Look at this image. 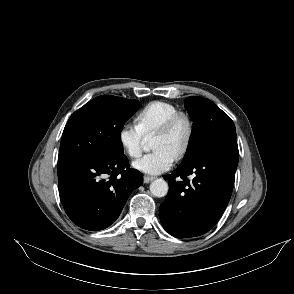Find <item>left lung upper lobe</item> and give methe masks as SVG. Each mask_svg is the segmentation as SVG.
Listing matches in <instances>:
<instances>
[{
    "label": "left lung upper lobe",
    "mask_w": 294,
    "mask_h": 294,
    "mask_svg": "<svg viewBox=\"0 0 294 294\" xmlns=\"http://www.w3.org/2000/svg\"><path fill=\"white\" fill-rule=\"evenodd\" d=\"M185 108L193 121V134L180 165L189 164L217 142L236 139L233 121L211 100L190 96L185 101Z\"/></svg>",
    "instance_id": "5c2ea615"
}]
</instances>
